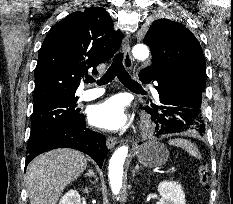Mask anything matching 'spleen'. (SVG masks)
Instances as JSON below:
<instances>
[{
    "label": "spleen",
    "instance_id": "1",
    "mask_svg": "<svg viewBox=\"0 0 233 204\" xmlns=\"http://www.w3.org/2000/svg\"><path fill=\"white\" fill-rule=\"evenodd\" d=\"M169 144L185 149L193 157H201L197 147L186 139H173L169 141Z\"/></svg>",
    "mask_w": 233,
    "mask_h": 204
}]
</instances>
